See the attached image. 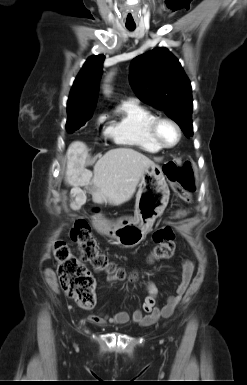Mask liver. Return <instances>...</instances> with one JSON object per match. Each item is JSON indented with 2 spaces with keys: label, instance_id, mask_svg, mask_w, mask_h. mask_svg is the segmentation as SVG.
Instances as JSON below:
<instances>
[{
  "label": "liver",
  "instance_id": "1",
  "mask_svg": "<svg viewBox=\"0 0 247 385\" xmlns=\"http://www.w3.org/2000/svg\"><path fill=\"white\" fill-rule=\"evenodd\" d=\"M88 150L83 142H73L67 151L66 184L72 186L71 195L75 201L70 204L79 210L86 202L84 187L92 193L94 202L120 205L129 201L144 170L153 161L131 148H116L106 152L94 166V171L86 169Z\"/></svg>",
  "mask_w": 247,
  "mask_h": 385
}]
</instances>
